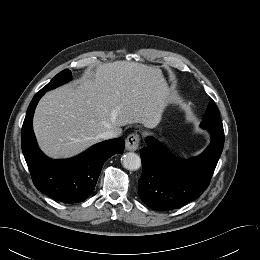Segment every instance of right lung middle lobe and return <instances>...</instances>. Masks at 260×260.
<instances>
[{"label":"right lung middle lobe","instance_id":"1","mask_svg":"<svg viewBox=\"0 0 260 260\" xmlns=\"http://www.w3.org/2000/svg\"><path fill=\"white\" fill-rule=\"evenodd\" d=\"M70 78H71V71L69 69H65L60 73H58L45 87L42 88V90L48 91L53 88H56L59 85L70 80Z\"/></svg>","mask_w":260,"mask_h":260}]
</instances>
